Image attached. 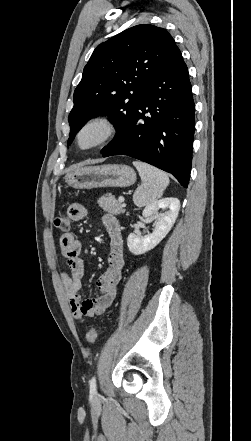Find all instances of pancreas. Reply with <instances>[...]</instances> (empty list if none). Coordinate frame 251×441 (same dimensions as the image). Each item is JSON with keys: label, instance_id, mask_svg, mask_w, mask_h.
Segmentation results:
<instances>
[{"label": "pancreas", "instance_id": "pancreas-1", "mask_svg": "<svg viewBox=\"0 0 251 441\" xmlns=\"http://www.w3.org/2000/svg\"><path fill=\"white\" fill-rule=\"evenodd\" d=\"M98 204L104 211L114 215H120L125 212L124 206L111 194H106L99 198Z\"/></svg>", "mask_w": 251, "mask_h": 441}]
</instances>
